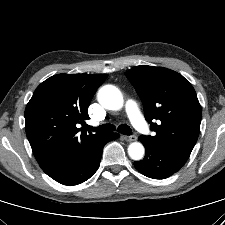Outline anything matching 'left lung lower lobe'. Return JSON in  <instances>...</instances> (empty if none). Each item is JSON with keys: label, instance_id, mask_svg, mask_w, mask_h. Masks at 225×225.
Here are the masks:
<instances>
[{"label": "left lung lower lobe", "instance_id": "obj_1", "mask_svg": "<svg viewBox=\"0 0 225 225\" xmlns=\"http://www.w3.org/2000/svg\"><path fill=\"white\" fill-rule=\"evenodd\" d=\"M146 148L143 160L135 161L137 170L149 178L165 179L176 173L187 161L176 154L163 149L155 144L149 143L139 137Z\"/></svg>", "mask_w": 225, "mask_h": 225}]
</instances>
